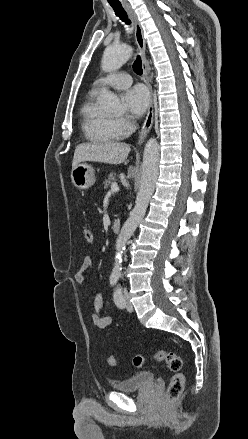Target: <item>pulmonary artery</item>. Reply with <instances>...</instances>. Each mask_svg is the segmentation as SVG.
<instances>
[{
	"label": "pulmonary artery",
	"mask_w": 248,
	"mask_h": 439,
	"mask_svg": "<svg viewBox=\"0 0 248 439\" xmlns=\"http://www.w3.org/2000/svg\"><path fill=\"white\" fill-rule=\"evenodd\" d=\"M132 83L131 76L127 73H115L106 77L99 78L93 87L94 92H98L105 87H113L116 89H124Z\"/></svg>",
	"instance_id": "1"
}]
</instances>
